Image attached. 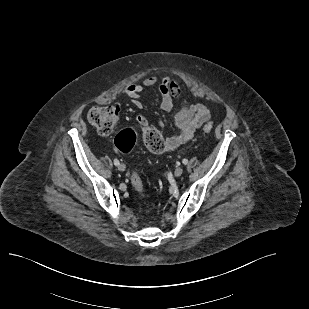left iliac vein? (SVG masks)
<instances>
[{"instance_id":"left-iliac-vein-1","label":"left iliac vein","mask_w":309,"mask_h":309,"mask_svg":"<svg viewBox=\"0 0 309 309\" xmlns=\"http://www.w3.org/2000/svg\"><path fill=\"white\" fill-rule=\"evenodd\" d=\"M182 173H183V168H181V167L176 168L175 171H174V175H175L176 177L181 176Z\"/></svg>"}]
</instances>
